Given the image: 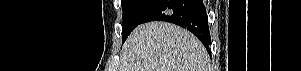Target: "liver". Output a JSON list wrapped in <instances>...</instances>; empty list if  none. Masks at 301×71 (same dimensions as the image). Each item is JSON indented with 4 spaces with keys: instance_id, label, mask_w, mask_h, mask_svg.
Segmentation results:
<instances>
[{
    "instance_id": "6515ba94",
    "label": "liver",
    "mask_w": 301,
    "mask_h": 71,
    "mask_svg": "<svg viewBox=\"0 0 301 71\" xmlns=\"http://www.w3.org/2000/svg\"><path fill=\"white\" fill-rule=\"evenodd\" d=\"M209 55L190 32L166 22L134 29L121 55L120 71H209Z\"/></svg>"
}]
</instances>
